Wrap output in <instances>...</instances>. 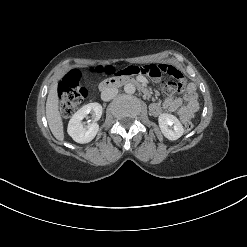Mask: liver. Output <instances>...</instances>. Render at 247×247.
I'll use <instances>...</instances> for the list:
<instances>
[{
    "label": "liver",
    "mask_w": 247,
    "mask_h": 247,
    "mask_svg": "<svg viewBox=\"0 0 247 247\" xmlns=\"http://www.w3.org/2000/svg\"><path fill=\"white\" fill-rule=\"evenodd\" d=\"M46 117L49 128L54 137L59 140H64L63 121L59 112V98L57 94V84H53L49 90L46 101Z\"/></svg>",
    "instance_id": "obj_1"
}]
</instances>
